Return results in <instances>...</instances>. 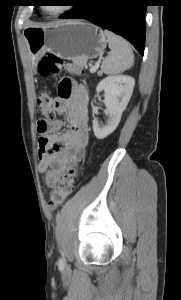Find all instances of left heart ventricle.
I'll return each instance as SVG.
<instances>
[{
    "mask_svg": "<svg viewBox=\"0 0 181 300\" xmlns=\"http://www.w3.org/2000/svg\"><path fill=\"white\" fill-rule=\"evenodd\" d=\"M56 4H60V3H56ZM62 7H63L62 5H47L46 10L57 11V10L61 9Z\"/></svg>",
    "mask_w": 181,
    "mask_h": 300,
    "instance_id": "1",
    "label": "left heart ventricle"
}]
</instances>
